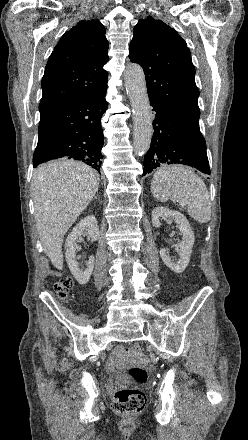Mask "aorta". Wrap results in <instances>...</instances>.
<instances>
[{
	"instance_id": "1",
	"label": "aorta",
	"mask_w": 248,
	"mask_h": 440,
	"mask_svg": "<svg viewBox=\"0 0 248 440\" xmlns=\"http://www.w3.org/2000/svg\"><path fill=\"white\" fill-rule=\"evenodd\" d=\"M124 82L133 110L134 151L142 156L149 150L153 135L152 113L142 67L130 64L124 73Z\"/></svg>"
}]
</instances>
